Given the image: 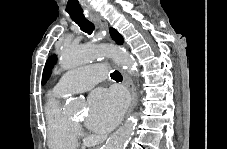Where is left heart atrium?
Wrapping results in <instances>:
<instances>
[{"label":"left heart atrium","mask_w":227,"mask_h":149,"mask_svg":"<svg viewBox=\"0 0 227 149\" xmlns=\"http://www.w3.org/2000/svg\"><path fill=\"white\" fill-rule=\"evenodd\" d=\"M125 104V98L118 90H96L90 97L89 127L99 133L109 131L120 120Z\"/></svg>","instance_id":"obj_1"}]
</instances>
